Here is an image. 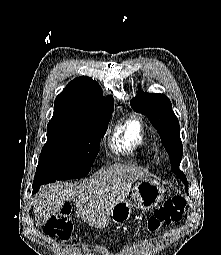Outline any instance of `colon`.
Returning <instances> with one entry per match:
<instances>
[{
  "label": "colon",
  "instance_id": "5ec220e1",
  "mask_svg": "<svg viewBox=\"0 0 221 255\" xmlns=\"http://www.w3.org/2000/svg\"><path fill=\"white\" fill-rule=\"evenodd\" d=\"M186 200L176 196L166 200L159 206L148 220V229L155 231L163 225L179 222L185 212ZM73 225L69 205H64L61 211L52 215L44 226V233L48 237L65 241L70 237Z\"/></svg>",
  "mask_w": 221,
  "mask_h": 255
}]
</instances>
